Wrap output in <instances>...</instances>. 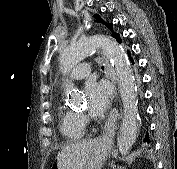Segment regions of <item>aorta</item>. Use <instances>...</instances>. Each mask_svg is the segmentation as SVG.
<instances>
[{
    "instance_id": "aorta-1",
    "label": "aorta",
    "mask_w": 177,
    "mask_h": 169,
    "mask_svg": "<svg viewBox=\"0 0 177 169\" xmlns=\"http://www.w3.org/2000/svg\"><path fill=\"white\" fill-rule=\"evenodd\" d=\"M101 48L110 59L120 86L124 107V117L117 137V146L121 155H127L134 144L139 130V113L136 84L128 58L117 42L105 36H91L66 47L60 57V69L64 74L76 66L85 57ZM66 98L70 105L82 102L81 95L71 84H66Z\"/></svg>"
}]
</instances>
